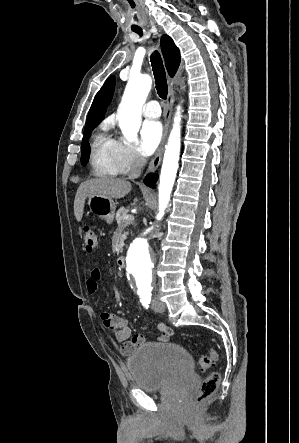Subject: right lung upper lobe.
Listing matches in <instances>:
<instances>
[{"instance_id": "obj_1", "label": "right lung upper lobe", "mask_w": 299, "mask_h": 443, "mask_svg": "<svg viewBox=\"0 0 299 443\" xmlns=\"http://www.w3.org/2000/svg\"><path fill=\"white\" fill-rule=\"evenodd\" d=\"M161 49L165 59L166 68L170 76H174L180 65V52L173 40L163 35L161 38ZM115 87V77H109L102 88L96 94L88 113L85 127L98 125L104 118L106 108L109 105Z\"/></svg>"}]
</instances>
